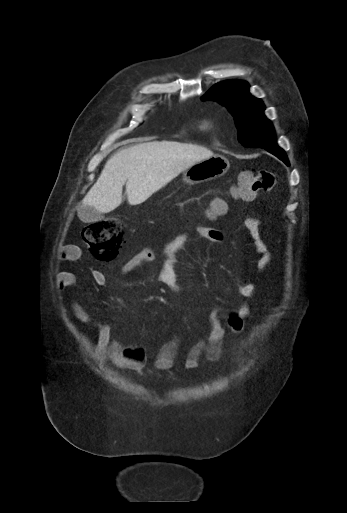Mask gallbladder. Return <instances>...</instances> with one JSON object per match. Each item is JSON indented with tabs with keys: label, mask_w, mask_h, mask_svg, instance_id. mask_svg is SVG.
Wrapping results in <instances>:
<instances>
[{
	"label": "gallbladder",
	"mask_w": 347,
	"mask_h": 513,
	"mask_svg": "<svg viewBox=\"0 0 347 513\" xmlns=\"http://www.w3.org/2000/svg\"><path fill=\"white\" fill-rule=\"evenodd\" d=\"M78 216L84 223H91L102 218V214L91 207L81 208L78 212Z\"/></svg>",
	"instance_id": "bac80fb5"
}]
</instances>
